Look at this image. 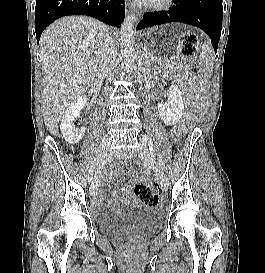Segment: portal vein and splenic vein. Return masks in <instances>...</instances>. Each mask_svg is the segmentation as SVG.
Wrapping results in <instances>:
<instances>
[{"mask_svg":"<svg viewBox=\"0 0 265 273\" xmlns=\"http://www.w3.org/2000/svg\"><path fill=\"white\" fill-rule=\"evenodd\" d=\"M144 56H145L146 58H148V57H149V55H148L147 53H145V54H144Z\"/></svg>","mask_w":265,"mask_h":273,"instance_id":"1","label":"portal vein and splenic vein"}]
</instances>
